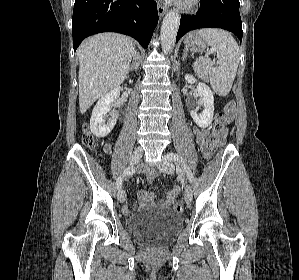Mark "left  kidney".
<instances>
[{"instance_id": "obj_1", "label": "left kidney", "mask_w": 299, "mask_h": 280, "mask_svg": "<svg viewBox=\"0 0 299 280\" xmlns=\"http://www.w3.org/2000/svg\"><path fill=\"white\" fill-rule=\"evenodd\" d=\"M185 81L193 84L197 80L192 75H185ZM197 91L200 96V102L204 106L202 114H197V112L191 111L190 115L194 122L201 128H207L211 125L214 115V97L211 89L202 82H199L197 85Z\"/></svg>"}]
</instances>
